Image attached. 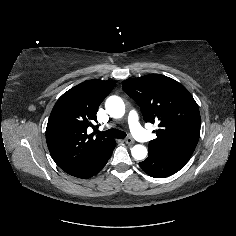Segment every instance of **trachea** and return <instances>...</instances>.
<instances>
[{"mask_svg": "<svg viewBox=\"0 0 236 236\" xmlns=\"http://www.w3.org/2000/svg\"><path fill=\"white\" fill-rule=\"evenodd\" d=\"M98 134L102 136H106L110 138H118V139H123L126 137V133L118 129H109L104 132L98 131Z\"/></svg>", "mask_w": 236, "mask_h": 236, "instance_id": "3493384b", "label": "trachea"}]
</instances>
